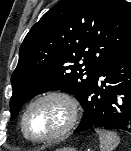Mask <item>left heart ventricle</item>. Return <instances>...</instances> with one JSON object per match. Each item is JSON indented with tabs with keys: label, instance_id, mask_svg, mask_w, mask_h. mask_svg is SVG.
I'll return each mask as SVG.
<instances>
[{
	"label": "left heart ventricle",
	"instance_id": "b2bd125f",
	"mask_svg": "<svg viewBox=\"0 0 131 151\" xmlns=\"http://www.w3.org/2000/svg\"><path fill=\"white\" fill-rule=\"evenodd\" d=\"M63 104L48 100L35 105L27 115L26 130L32 137H46L59 130L66 122Z\"/></svg>",
	"mask_w": 131,
	"mask_h": 151
}]
</instances>
